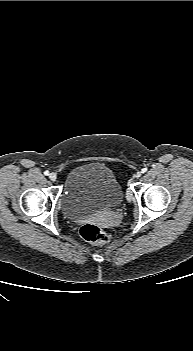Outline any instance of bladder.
I'll use <instances>...</instances> for the list:
<instances>
[{
    "instance_id": "1",
    "label": "bladder",
    "mask_w": 193,
    "mask_h": 351,
    "mask_svg": "<svg viewBox=\"0 0 193 351\" xmlns=\"http://www.w3.org/2000/svg\"><path fill=\"white\" fill-rule=\"evenodd\" d=\"M123 191L113 171L101 163L72 169L64 182L60 206L69 219H79L119 206Z\"/></svg>"
}]
</instances>
